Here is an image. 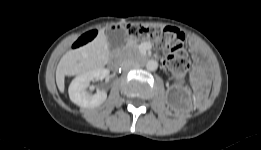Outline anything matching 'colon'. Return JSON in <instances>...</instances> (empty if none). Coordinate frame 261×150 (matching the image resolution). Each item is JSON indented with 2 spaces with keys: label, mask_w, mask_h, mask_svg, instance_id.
<instances>
[{
  "label": "colon",
  "mask_w": 261,
  "mask_h": 150,
  "mask_svg": "<svg viewBox=\"0 0 261 150\" xmlns=\"http://www.w3.org/2000/svg\"><path fill=\"white\" fill-rule=\"evenodd\" d=\"M127 33L136 40H152L167 54V68L176 76L182 78L190 66V57L185 49L184 33L175 27H150L143 24H129ZM98 32L90 30L84 33L74 44L75 48L92 42Z\"/></svg>",
  "instance_id": "5ec220e1"
}]
</instances>
